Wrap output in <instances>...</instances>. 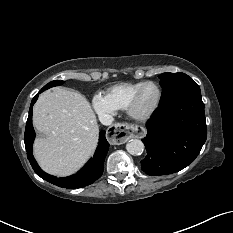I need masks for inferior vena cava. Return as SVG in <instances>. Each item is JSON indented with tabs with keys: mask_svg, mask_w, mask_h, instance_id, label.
Returning a JSON list of instances; mask_svg holds the SVG:
<instances>
[{
	"mask_svg": "<svg viewBox=\"0 0 233 233\" xmlns=\"http://www.w3.org/2000/svg\"><path fill=\"white\" fill-rule=\"evenodd\" d=\"M99 120L103 125L108 126V125H111L113 123L114 118L109 114L103 113V114L99 115Z\"/></svg>",
	"mask_w": 233,
	"mask_h": 233,
	"instance_id": "inferior-vena-cava-1",
	"label": "inferior vena cava"
}]
</instances>
